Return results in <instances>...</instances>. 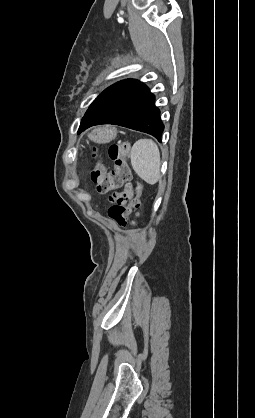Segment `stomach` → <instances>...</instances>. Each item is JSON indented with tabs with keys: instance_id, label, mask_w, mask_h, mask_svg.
Wrapping results in <instances>:
<instances>
[{
	"instance_id": "obj_1",
	"label": "stomach",
	"mask_w": 255,
	"mask_h": 418,
	"mask_svg": "<svg viewBox=\"0 0 255 418\" xmlns=\"http://www.w3.org/2000/svg\"><path fill=\"white\" fill-rule=\"evenodd\" d=\"M116 135V132L113 128L110 127H102L95 129L89 134V138L92 141L98 142V143H107L114 139Z\"/></svg>"
}]
</instances>
